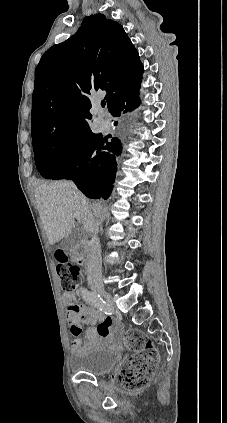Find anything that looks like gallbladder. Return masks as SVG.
Here are the masks:
<instances>
[{
  "label": "gallbladder",
  "mask_w": 227,
  "mask_h": 423,
  "mask_svg": "<svg viewBox=\"0 0 227 423\" xmlns=\"http://www.w3.org/2000/svg\"><path fill=\"white\" fill-rule=\"evenodd\" d=\"M85 237V229H82V227H74L71 233H69L67 237H64L62 241H60L58 247L59 249H64V251L68 253L70 247H73V245H76V243H80L81 239H85Z\"/></svg>",
  "instance_id": "bac80fb5"
}]
</instances>
